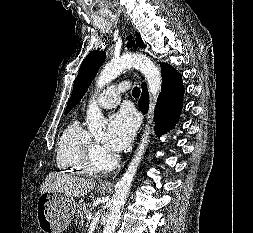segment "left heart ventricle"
I'll return each instance as SVG.
<instances>
[{"label":"left heart ventricle","instance_id":"b2bd125f","mask_svg":"<svg viewBox=\"0 0 253 233\" xmlns=\"http://www.w3.org/2000/svg\"><path fill=\"white\" fill-rule=\"evenodd\" d=\"M102 137H103L102 133L94 135V138L96 139V141H98L100 143V145H101ZM101 148H102V150L104 152V155H110L111 154L102 145H101Z\"/></svg>","mask_w":253,"mask_h":233}]
</instances>
